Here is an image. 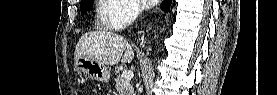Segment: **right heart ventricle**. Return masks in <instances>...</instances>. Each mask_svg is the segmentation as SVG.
Listing matches in <instances>:
<instances>
[{"mask_svg":"<svg viewBox=\"0 0 277 95\" xmlns=\"http://www.w3.org/2000/svg\"><path fill=\"white\" fill-rule=\"evenodd\" d=\"M122 4L117 0H99L97 6V27L101 30H113L119 27L118 11Z\"/></svg>","mask_w":277,"mask_h":95,"instance_id":"1","label":"right heart ventricle"}]
</instances>
